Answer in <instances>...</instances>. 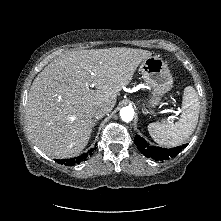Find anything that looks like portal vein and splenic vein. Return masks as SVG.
Masks as SVG:
<instances>
[{
    "label": "portal vein and splenic vein",
    "mask_w": 221,
    "mask_h": 221,
    "mask_svg": "<svg viewBox=\"0 0 221 221\" xmlns=\"http://www.w3.org/2000/svg\"><path fill=\"white\" fill-rule=\"evenodd\" d=\"M92 85H93V84H92ZM93 86H94V85H93ZM166 112H175V111L169 109V110H166ZM173 118H174V116H171V117H170V119H173Z\"/></svg>",
    "instance_id": "1"
}]
</instances>
